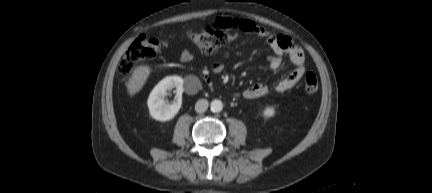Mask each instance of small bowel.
<instances>
[{
	"mask_svg": "<svg viewBox=\"0 0 432 193\" xmlns=\"http://www.w3.org/2000/svg\"><path fill=\"white\" fill-rule=\"evenodd\" d=\"M222 25L227 30L242 31L247 34L257 35L264 38L272 51L268 57L269 67L272 70H277L283 66V56H287L289 62L295 67L285 78L281 79L274 87L277 92H285L292 89L302 78L305 73V57L302 48L295 44L289 37L271 33L265 27L256 24L248 19L238 18H220L215 21ZM180 60L189 62L193 59V52L185 48L180 52ZM225 66L222 62H214L211 65V72L219 74L224 70ZM186 91L189 94H194L199 89L198 81L194 77H190L185 83ZM270 92V88L263 83H255L246 88L241 96L246 99H255L263 97Z\"/></svg>",
	"mask_w": 432,
	"mask_h": 193,
	"instance_id": "obj_1",
	"label": "small bowel"
}]
</instances>
